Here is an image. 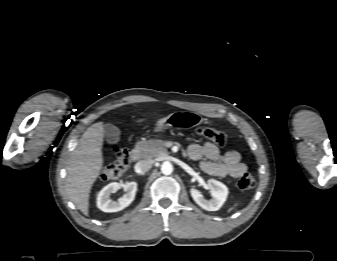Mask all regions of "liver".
<instances>
[{
    "label": "liver",
    "instance_id": "6515ba94",
    "mask_svg": "<svg viewBox=\"0 0 337 261\" xmlns=\"http://www.w3.org/2000/svg\"><path fill=\"white\" fill-rule=\"evenodd\" d=\"M143 120H138L141 122ZM104 127L102 122L91 125L71 153L67 166L66 191L69 199L86 216L89 214L91 188L103 167Z\"/></svg>",
    "mask_w": 337,
    "mask_h": 261
}]
</instances>
